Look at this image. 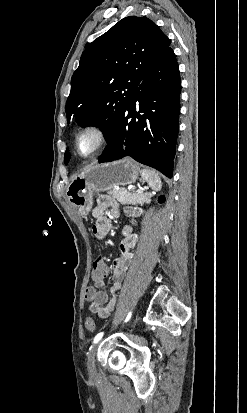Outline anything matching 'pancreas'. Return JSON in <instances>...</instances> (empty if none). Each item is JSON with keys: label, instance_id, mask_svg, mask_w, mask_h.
I'll list each match as a JSON object with an SVG mask.
<instances>
[{"label": "pancreas", "instance_id": "pancreas-1", "mask_svg": "<svg viewBox=\"0 0 247 413\" xmlns=\"http://www.w3.org/2000/svg\"><path fill=\"white\" fill-rule=\"evenodd\" d=\"M108 194L119 200L121 204H144L150 202L151 192H126L124 188L121 190H109Z\"/></svg>", "mask_w": 247, "mask_h": 413}]
</instances>
